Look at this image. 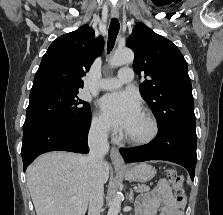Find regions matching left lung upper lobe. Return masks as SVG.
I'll return each mask as SVG.
<instances>
[{"instance_id":"obj_1","label":"left lung upper lobe","mask_w":223,"mask_h":215,"mask_svg":"<svg viewBox=\"0 0 223 215\" xmlns=\"http://www.w3.org/2000/svg\"><path fill=\"white\" fill-rule=\"evenodd\" d=\"M126 45L134 51V71L149 76L140 93L154 113L158 129L171 125L196 126L187 63L168 39L138 23Z\"/></svg>"}]
</instances>
